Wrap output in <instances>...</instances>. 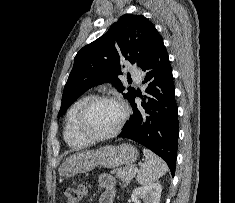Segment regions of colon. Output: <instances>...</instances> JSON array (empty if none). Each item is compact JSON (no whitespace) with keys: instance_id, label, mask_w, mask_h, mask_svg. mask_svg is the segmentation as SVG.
<instances>
[{"instance_id":"obj_1","label":"colon","mask_w":235,"mask_h":203,"mask_svg":"<svg viewBox=\"0 0 235 203\" xmlns=\"http://www.w3.org/2000/svg\"><path fill=\"white\" fill-rule=\"evenodd\" d=\"M87 192V186L83 183H73L63 191L65 203H80Z\"/></svg>"}]
</instances>
